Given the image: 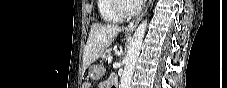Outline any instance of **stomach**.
<instances>
[{
  "label": "stomach",
  "instance_id": "obj_1",
  "mask_svg": "<svg viewBox=\"0 0 227 88\" xmlns=\"http://www.w3.org/2000/svg\"><path fill=\"white\" fill-rule=\"evenodd\" d=\"M104 74V67L102 65H92L88 71V77L92 80L100 79Z\"/></svg>",
  "mask_w": 227,
  "mask_h": 88
}]
</instances>
